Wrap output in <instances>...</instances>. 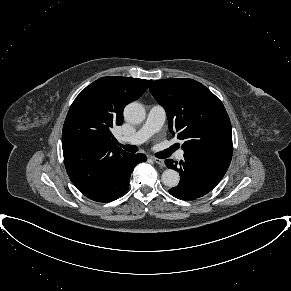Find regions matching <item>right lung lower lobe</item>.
<instances>
[{"instance_id":"98d812e1","label":"right lung lower lobe","mask_w":291,"mask_h":291,"mask_svg":"<svg viewBox=\"0 0 291 291\" xmlns=\"http://www.w3.org/2000/svg\"><path fill=\"white\" fill-rule=\"evenodd\" d=\"M146 159L144 154L129 153L116 159L99 182L84 195L97 202H111L122 197L128 190L133 168Z\"/></svg>"}]
</instances>
